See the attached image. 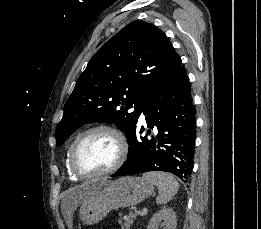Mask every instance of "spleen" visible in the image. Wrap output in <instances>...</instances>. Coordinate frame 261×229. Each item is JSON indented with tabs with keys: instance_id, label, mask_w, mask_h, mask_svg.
<instances>
[{
	"instance_id": "obj_1",
	"label": "spleen",
	"mask_w": 261,
	"mask_h": 229,
	"mask_svg": "<svg viewBox=\"0 0 261 229\" xmlns=\"http://www.w3.org/2000/svg\"><path fill=\"white\" fill-rule=\"evenodd\" d=\"M144 179H148L158 189V197H156L157 205H165L175 197L180 185L171 173H163V171H151L144 173Z\"/></svg>"
}]
</instances>
